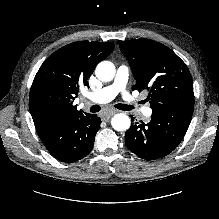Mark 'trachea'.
<instances>
[{"label":"trachea","instance_id":"3493384b","mask_svg":"<svg viewBox=\"0 0 219 219\" xmlns=\"http://www.w3.org/2000/svg\"><path fill=\"white\" fill-rule=\"evenodd\" d=\"M114 107L120 110H125V111H129L133 109L132 105H126V104H116ZM100 110H101V107L99 105H93L90 108V112L92 113L99 112Z\"/></svg>","mask_w":219,"mask_h":219}]
</instances>
